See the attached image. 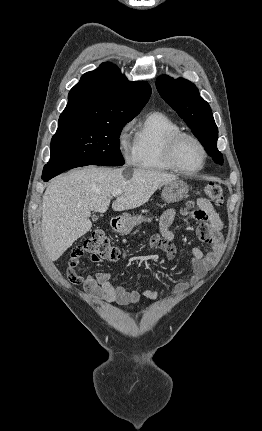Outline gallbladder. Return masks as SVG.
Wrapping results in <instances>:
<instances>
[{"instance_id":"1","label":"gallbladder","mask_w":262,"mask_h":431,"mask_svg":"<svg viewBox=\"0 0 262 431\" xmlns=\"http://www.w3.org/2000/svg\"><path fill=\"white\" fill-rule=\"evenodd\" d=\"M96 219H97V216L93 215L92 220H96Z\"/></svg>"}]
</instances>
